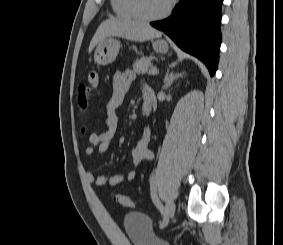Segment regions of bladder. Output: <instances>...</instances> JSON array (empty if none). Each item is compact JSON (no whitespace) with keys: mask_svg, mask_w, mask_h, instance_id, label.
<instances>
[{"mask_svg":"<svg viewBox=\"0 0 283 245\" xmlns=\"http://www.w3.org/2000/svg\"><path fill=\"white\" fill-rule=\"evenodd\" d=\"M123 228L132 245H170L158 236L152 220L141 212L127 213L123 218Z\"/></svg>","mask_w":283,"mask_h":245,"instance_id":"bladder-1","label":"bladder"}]
</instances>
